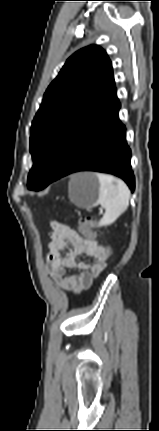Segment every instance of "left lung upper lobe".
<instances>
[{"instance_id":"obj_1","label":"left lung upper lobe","mask_w":159,"mask_h":431,"mask_svg":"<svg viewBox=\"0 0 159 431\" xmlns=\"http://www.w3.org/2000/svg\"><path fill=\"white\" fill-rule=\"evenodd\" d=\"M116 97L112 64L101 47H85L66 61L32 122L29 189L41 190L51 183L78 131Z\"/></svg>"}]
</instances>
